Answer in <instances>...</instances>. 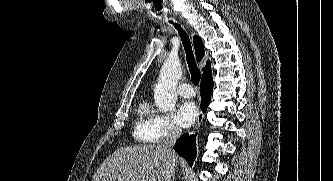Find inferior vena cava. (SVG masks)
Here are the masks:
<instances>
[{"mask_svg":"<svg viewBox=\"0 0 333 181\" xmlns=\"http://www.w3.org/2000/svg\"><path fill=\"white\" fill-rule=\"evenodd\" d=\"M181 134H182L181 128L173 126L168 136L160 144L172 158L176 156L173 150V146L177 141V139L181 136ZM174 175H175V167L173 165L167 174L166 181H174Z\"/></svg>","mask_w":333,"mask_h":181,"instance_id":"obj_1","label":"inferior vena cava"}]
</instances>
